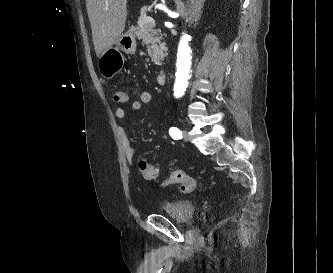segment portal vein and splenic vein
<instances>
[{
	"instance_id": "portal-vein-and-splenic-vein-1",
	"label": "portal vein and splenic vein",
	"mask_w": 333,
	"mask_h": 273,
	"mask_svg": "<svg viewBox=\"0 0 333 273\" xmlns=\"http://www.w3.org/2000/svg\"><path fill=\"white\" fill-rule=\"evenodd\" d=\"M146 22L149 23L151 26H154L155 25V21L152 17L148 16L146 18Z\"/></svg>"
}]
</instances>
